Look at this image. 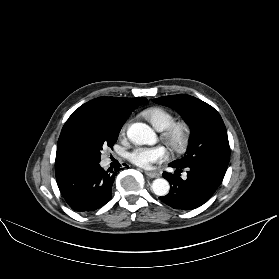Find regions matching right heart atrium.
Returning a JSON list of instances; mask_svg holds the SVG:
<instances>
[{
    "mask_svg": "<svg viewBox=\"0 0 279 279\" xmlns=\"http://www.w3.org/2000/svg\"><path fill=\"white\" fill-rule=\"evenodd\" d=\"M129 124H130V120H127V121L123 124V126H122V128H121V134H123V135L125 134V132H126L128 126H129Z\"/></svg>",
    "mask_w": 279,
    "mask_h": 279,
    "instance_id": "right-heart-atrium-1",
    "label": "right heart atrium"
}]
</instances>
